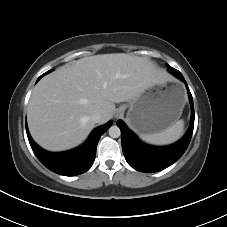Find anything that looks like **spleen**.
Returning a JSON list of instances; mask_svg holds the SVG:
<instances>
[{"mask_svg":"<svg viewBox=\"0 0 227 227\" xmlns=\"http://www.w3.org/2000/svg\"><path fill=\"white\" fill-rule=\"evenodd\" d=\"M183 129L184 121L179 120L161 132L141 134L140 138L150 144L166 145L177 141L182 136Z\"/></svg>","mask_w":227,"mask_h":227,"instance_id":"spleen-1","label":"spleen"}]
</instances>
